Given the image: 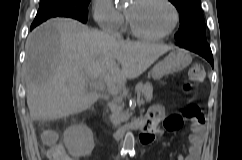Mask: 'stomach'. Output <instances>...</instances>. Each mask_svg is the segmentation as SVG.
Segmentation results:
<instances>
[{
  "label": "stomach",
  "mask_w": 242,
  "mask_h": 160,
  "mask_svg": "<svg viewBox=\"0 0 242 160\" xmlns=\"http://www.w3.org/2000/svg\"><path fill=\"white\" fill-rule=\"evenodd\" d=\"M191 61L192 58L186 50L175 49L153 67L151 76L155 80H160L167 74L183 70Z\"/></svg>",
  "instance_id": "stomach-1"
}]
</instances>
